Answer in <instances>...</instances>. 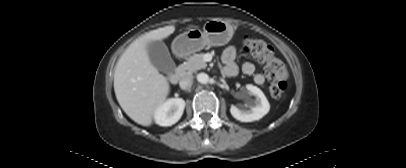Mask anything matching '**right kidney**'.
Listing matches in <instances>:
<instances>
[{
	"label": "right kidney",
	"instance_id": "1",
	"mask_svg": "<svg viewBox=\"0 0 406 168\" xmlns=\"http://www.w3.org/2000/svg\"><path fill=\"white\" fill-rule=\"evenodd\" d=\"M184 108L185 101L183 99H168L156 109L154 120L160 126H172L180 120Z\"/></svg>",
	"mask_w": 406,
	"mask_h": 168
}]
</instances>
